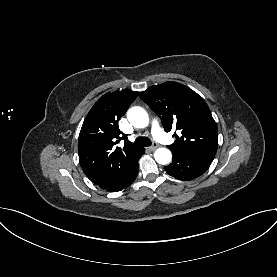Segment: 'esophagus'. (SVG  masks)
<instances>
[{
	"mask_svg": "<svg viewBox=\"0 0 277 277\" xmlns=\"http://www.w3.org/2000/svg\"><path fill=\"white\" fill-rule=\"evenodd\" d=\"M157 147L158 145L154 143L152 146L149 147V150L154 151Z\"/></svg>",
	"mask_w": 277,
	"mask_h": 277,
	"instance_id": "esophagus-1",
	"label": "esophagus"
}]
</instances>
